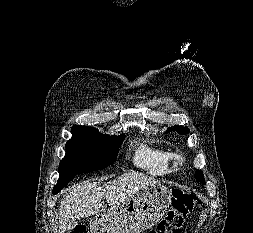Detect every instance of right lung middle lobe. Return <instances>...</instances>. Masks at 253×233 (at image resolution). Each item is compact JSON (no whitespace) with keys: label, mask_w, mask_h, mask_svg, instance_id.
Returning a JSON list of instances; mask_svg holds the SVG:
<instances>
[{"label":"right lung middle lobe","mask_w":253,"mask_h":233,"mask_svg":"<svg viewBox=\"0 0 253 233\" xmlns=\"http://www.w3.org/2000/svg\"><path fill=\"white\" fill-rule=\"evenodd\" d=\"M72 134L66 144V156L59 164L58 182L113 164L124 139V135H102L92 127L73 126Z\"/></svg>","instance_id":"right-lung-middle-lobe-1"}]
</instances>
